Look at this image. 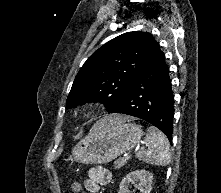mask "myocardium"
Here are the masks:
<instances>
[{
	"label": "myocardium",
	"instance_id": "myocardium-1",
	"mask_svg": "<svg viewBox=\"0 0 221 193\" xmlns=\"http://www.w3.org/2000/svg\"><path fill=\"white\" fill-rule=\"evenodd\" d=\"M90 106L88 104L80 105L77 108V115L79 117H85L89 112Z\"/></svg>",
	"mask_w": 221,
	"mask_h": 193
}]
</instances>
